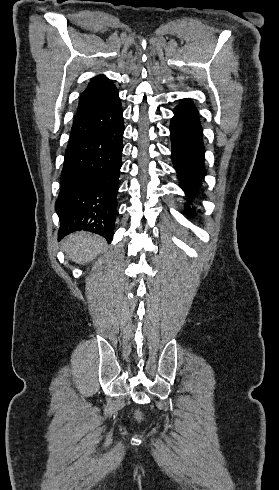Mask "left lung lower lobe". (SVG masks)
<instances>
[{"instance_id": "1", "label": "left lung lower lobe", "mask_w": 279, "mask_h": 490, "mask_svg": "<svg viewBox=\"0 0 279 490\" xmlns=\"http://www.w3.org/2000/svg\"><path fill=\"white\" fill-rule=\"evenodd\" d=\"M170 132L171 158L180 186L188 197H194L206 172L202 128L197 109L190 100H182V103L174 109ZM189 207L190 205L187 204L184 211L188 215L193 213Z\"/></svg>"}]
</instances>
